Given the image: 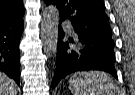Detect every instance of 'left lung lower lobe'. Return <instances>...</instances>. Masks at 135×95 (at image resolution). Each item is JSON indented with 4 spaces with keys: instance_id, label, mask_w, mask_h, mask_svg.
I'll use <instances>...</instances> for the list:
<instances>
[{
    "instance_id": "left-lung-lower-lobe-1",
    "label": "left lung lower lobe",
    "mask_w": 135,
    "mask_h": 95,
    "mask_svg": "<svg viewBox=\"0 0 135 95\" xmlns=\"http://www.w3.org/2000/svg\"><path fill=\"white\" fill-rule=\"evenodd\" d=\"M60 19L57 58L52 88L67 75L77 71L101 70L117 78L112 33L74 28L75 38L63 41L65 32Z\"/></svg>"
}]
</instances>
